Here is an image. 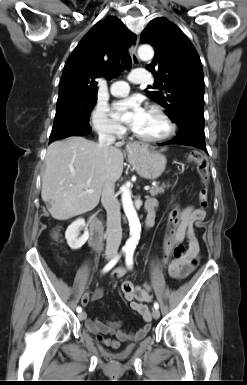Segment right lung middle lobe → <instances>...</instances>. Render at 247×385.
I'll list each match as a JSON object with an SVG mask.
<instances>
[{
    "label": "right lung middle lobe",
    "mask_w": 247,
    "mask_h": 385,
    "mask_svg": "<svg viewBox=\"0 0 247 385\" xmlns=\"http://www.w3.org/2000/svg\"><path fill=\"white\" fill-rule=\"evenodd\" d=\"M96 100V94L93 93L66 92L59 94L52 130L75 123L88 124Z\"/></svg>",
    "instance_id": "1"
}]
</instances>
